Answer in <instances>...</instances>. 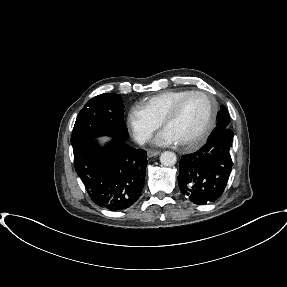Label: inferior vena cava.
<instances>
[{
  "instance_id": "inferior-vena-cava-1",
  "label": "inferior vena cava",
  "mask_w": 287,
  "mask_h": 287,
  "mask_svg": "<svg viewBox=\"0 0 287 287\" xmlns=\"http://www.w3.org/2000/svg\"><path fill=\"white\" fill-rule=\"evenodd\" d=\"M150 138L148 136H142L138 139V142L140 144H144L145 142H147Z\"/></svg>"
}]
</instances>
